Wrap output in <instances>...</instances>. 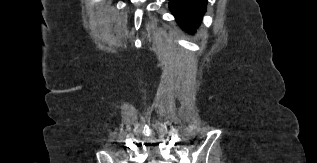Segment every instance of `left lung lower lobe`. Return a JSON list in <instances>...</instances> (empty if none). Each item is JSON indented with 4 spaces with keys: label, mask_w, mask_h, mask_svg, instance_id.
Returning <instances> with one entry per match:
<instances>
[{
    "label": "left lung lower lobe",
    "mask_w": 317,
    "mask_h": 163,
    "mask_svg": "<svg viewBox=\"0 0 317 163\" xmlns=\"http://www.w3.org/2000/svg\"><path fill=\"white\" fill-rule=\"evenodd\" d=\"M207 0H169V9L178 24L188 32H195L206 11Z\"/></svg>",
    "instance_id": "obj_1"
}]
</instances>
